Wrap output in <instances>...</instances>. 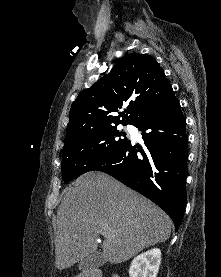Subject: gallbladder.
<instances>
[{"label":"gallbladder","instance_id":"1","mask_svg":"<svg viewBox=\"0 0 221 277\" xmlns=\"http://www.w3.org/2000/svg\"><path fill=\"white\" fill-rule=\"evenodd\" d=\"M105 263V259L102 256L100 251H95L94 253L86 256L85 258L81 259L79 262V270L87 271L94 268H98Z\"/></svg>","mask_w":221,"mask_h":277}]
</instances>
